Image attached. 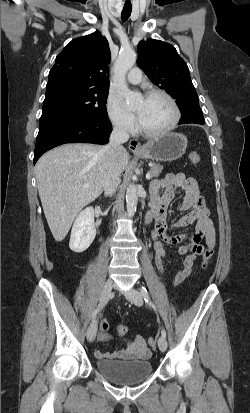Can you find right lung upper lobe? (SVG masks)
<instances>
[{
    "mask_svg": "<svg viewBox=\"0 0 250 413\" xmlns=\"http://www.w3.org/2000/svg\"><path fill=\"white\" fill-rule=\"evenodd\" d=\"M109 62V44L101 33L76 38L57 56L46 91L63 85L109 89Z\"/></svg>",
    "mask_w": 250,
    "mask_h": 413,
    "instance_id": "obj_1",
    "label": "right lung upper lobe"
}]
</instances>
